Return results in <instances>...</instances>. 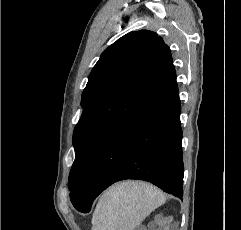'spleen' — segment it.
I'll return each instance as SVG.
<instances>
[{
    "mask_svg": "<svg viewBox=\"0 0 241 230\" xmlns=\"http://www.w3.org/2000/svg\"><path fill=\"white\" fill-rule=\"evenodd\" d=\"M165 200L164 194L148 183L115 184L100 197L92 217V230H134Z\"/></svg>",
    "mask_w": 241,
    "mask_h": 230,
    "instance_id": "obj_1",
    "label": "spleen"
}]
</instances>
